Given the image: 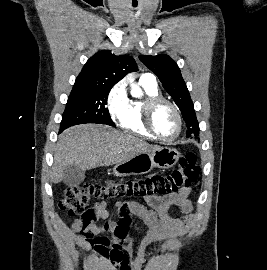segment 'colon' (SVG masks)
Wrapping results in <instances>:
<instances>
[{
    "label": "colon",
    "instance_id": "1",
    "mask_svg": "<svg viewBox=\"0 0 267 270\" xmlns=\"http://www.w3.org/2000/svg\"><path fill=\"white\" fill-rule=\"evenodd\" d=\"M199 175L197 157L194 153H186L178 164L167 175H153L142 179L109 180L103 184L84 183L65 188L59 201L61 210L69 215H84L89 199H117L123 197H161L189 189ZM88 244L101 254H106L99 237L83 235ZM113 269L127 270V259L119 255L113 260Z\"/></svg>",
    "mask_w": 267,
    "mask_h": 270
}]
</instances>
